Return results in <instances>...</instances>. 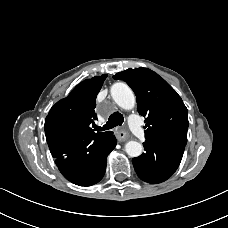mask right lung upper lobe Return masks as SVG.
I'll list each match as a JSON object with an SVG mask.
<instances>
[{"mask_svg": "<svg viewBox=\"0 0 228 228\" xmlns=\"http://www.w3.org/2000/svg\"><path fill=\"white\" fill-rule=\"evenodd\" d=\"M107 75L95 76L79 83L70 94L58 101L49 111L44 124L49 146L56 137L69 134L72 137L88 134L92 136L110 133H95L91 126L97 119L94 111L96 97Z\"/></svg>", "mask_w": 228, "mask_h": 228, "instance_id": "right-lung-upper-lobe-1", "label": "right lung upper lobe"}]
</instances>
